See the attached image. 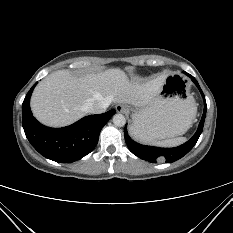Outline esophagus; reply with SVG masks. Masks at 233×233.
I'll use <instances>...</instances> for the list:
<instances>
[{
	"instance_id": "esophagus-1",
	"label": "esophagus",
	"mask_w": 233,
	"mask_h": 233,
	"mask_svg": "<svg viewBox=\"0 0 233 233\" xmlns=\"http://www.w3.org/2000/svg\"><path fill=\"white\" fill-rule=\"evenodd\" d=\"M116 111L118 113H127L128 112V108L124 105V104H118L116 105Z\"/></svg>"
}]
</instances>
